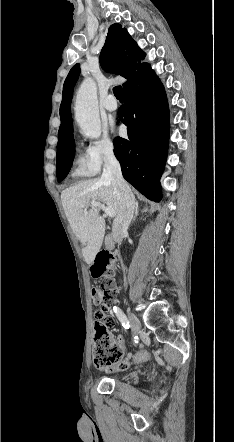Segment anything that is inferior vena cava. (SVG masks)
<instances>
[{
	"label": "inferior vena cava",
	"mask_w": 234,
	"mask_h": 442,
	"mask_svg": "<svg viewBox=\"0 0 234 442\" xmlns=\"http://www.w3.org/2000/svg\"><path fill=\"white\" fill-rule=\"evenodd\" d=\"M102 178L112 182L119 197L120 207L113 222L112 236L115 242L121 243L133 219L136 203L129 185L122 176L120 164L112 149H109L105 154Z\"/></svg>",
	"instance_id": "1"
}]
</instances>
